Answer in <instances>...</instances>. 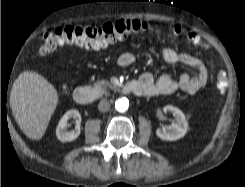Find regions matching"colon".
Listing matches in <instances>:
<instances>
[{"label": "colon", "mask_w": 245, "mask_h": 187, "mask_svg": "<svg viewBox=\"0 0 245 187\" xmlns=\"http://www.w3.org/2000/svg\"><path fill=\"white\" fill-rule=\"evenodd\" d=\"M148 27V23L144 21L129 19L106 23L99 27H61L43 35L39 42V52L47 54L64 45L98 49L122 41L133 34L144 32ZM171 32L175 35H183L197 45L205 46V42L199 36L184 30L179 25L171 28ZM217 85L220 88L226 85L222 74L217 76Z\"/></svg>", "instance_id": "obj_1"}]
</instances>
